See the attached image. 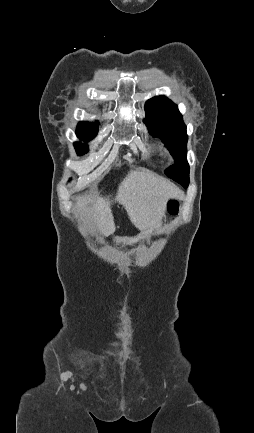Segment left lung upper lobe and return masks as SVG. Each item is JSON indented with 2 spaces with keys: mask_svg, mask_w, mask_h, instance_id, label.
Listing matches in <instances>:
<instances>
[{
  "mask_svg": "<svg viewBox=\"0 0 254 433\" xmlns=\"http://www.w3.org/2000/svg\"><path fill=\"white\" fill-rule=\"evenodd\" d=\"M145 124L149 133L158 136L174 157L175 164L165 174L187 188L189 165L186 159L187 133L177 105L165 96H157L146 102Z\"/></svg>",
  "mask_w": 254,
  "mask_h": 433,
  "instance_id": "5c2ea615",
  "label": "left lung upper lobe"
}]
</instances>
